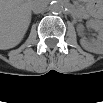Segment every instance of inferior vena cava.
Returning a JSON list of instances; mask_svg holds the SVG:
<instances>
[{
    "label": "inferior vena cava",
    "mask_w": 103,
    "mask_h": 103,
    "mask_svg": "<svg viewBox=\"0 0 103 103\" xmlns=\"http://www.w3.org/2000/svg\"><path fill=\"white\" fill-rule=\"evenodd\" d=\"M46 9V3L41 0H35L31 5V10L35 14L42 13Z\"/></svg>",
    "instance_id": "1"
}]
</instances>
